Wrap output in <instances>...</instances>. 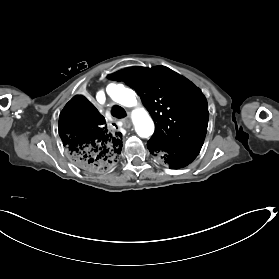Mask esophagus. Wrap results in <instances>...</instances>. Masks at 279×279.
<instances>
[{
    "label": "esophagus",
    "mask_w": 279,
    "mask_h": 279,
    "mask_svg": "<svg viewBox=\"0 0 279 279\" xmlns=\"http://www.w3.org/2000/svg\"><path fill=\"white\" fill-rule=\"evenodd\" d=\"M123 127L129 129L131 127V121L128 118H123L122 120Z\"/></svg>",
    "instance_id": "esophagus-1"
}]
</instances>
